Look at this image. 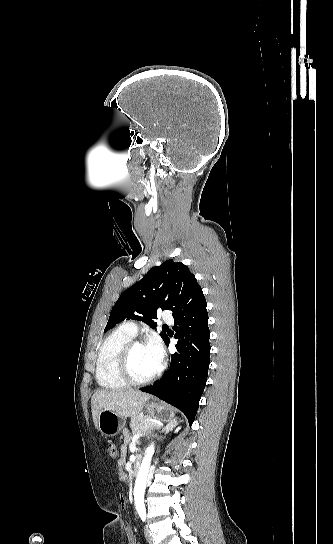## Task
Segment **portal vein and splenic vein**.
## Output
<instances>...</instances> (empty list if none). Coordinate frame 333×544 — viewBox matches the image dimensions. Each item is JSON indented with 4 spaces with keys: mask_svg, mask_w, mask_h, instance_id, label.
<instances>
[{
    "mask_svg": "<svg viewBox=\"0 0 333 544\" xmlns=\"http://www.w3.org/2000/svg\"><path fill=\"white\" fill-rule=\"evenodd\" d=\"M141 435L142 433L139 432L137 435L133 436L132 441H136Z\"/></svg>",
    "mask_w": 333,
    "mask_h": 544,
    "instance_id": "18ae733b",
    "label": "portal vein and splenic vein"
}]
</instances>
